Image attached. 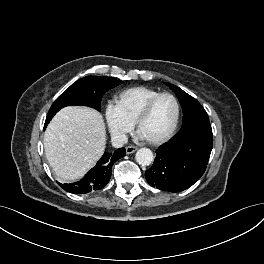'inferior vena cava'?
I'll return each instance as SVG.
<instances>
[{
	"instance_id": "602c4592",
	"label": "inferior vena cava",
	"mask_w": 264,
	"mask_h": 264,
	"mask_svg": "<svg viewBox=\"0 0 264 264\" xmlns=\"http://www.w3.org/2000/svg\"><path fill=\"white\" fill-rule=\"evenodd\" d=\"M111 142L115 148H120L128 142V138L123 133H113L111 136Z\"/></svg>"
}]
</instances>
